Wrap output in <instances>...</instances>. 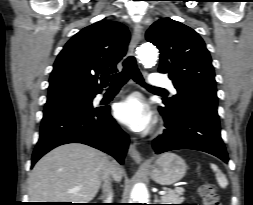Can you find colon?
I'll use <instances>...</instances> for the list:
<instances>
[{
  "label": "colon",
  "mask_w": 253,
  "mask_h": 205,
  "mask_svg": "<svg viewBox=\"0 0 253 205\" xmlns=\"http://www.w3.org/2000/svg\"><path fill=\"white\" fill-rule=\"evenodd\" d=\"M198 193L204 205H220L217 191L211 183L203 182L198 188Z\"/></svg>",
  "instance_id": "1"
}]
</instances>
